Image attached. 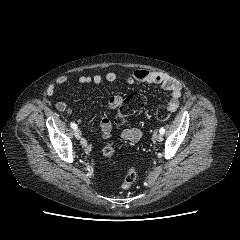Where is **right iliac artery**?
<instances>
[{"label": "right iliac artery", "instance_id": "1", "mask_svg": "<svg viewBox=\"0 0 240 240\" xmlns=\"http://www.w3.org/2000/svg\"><path fill=\"white\" fill-rule=\"evenodd\" d=\"M70 126H71V128H73L74 130L77 129V125H76L75 123H71Z\"/></svg>", "mask_w": 240, "mask_h": 240}]
</instances>
